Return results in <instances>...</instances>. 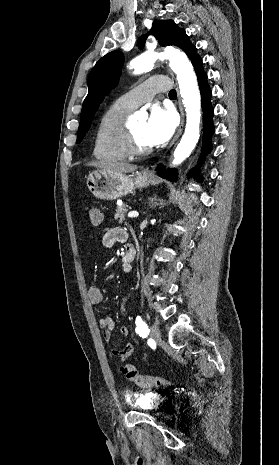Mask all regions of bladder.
I'll use <instances>...</instances> for the list:
<instances>
[{"label": "bladder", "instance_id": "31cf9c89", "mask_svg": "<svg viewBox=\"0 0 279 465\" xmlns=\"http://www.w3.org/2000/svg\"><path fill=\"white\" fill-rule=\"evenodd\" d=\"M165 402V398L153 392L138 393L131 397L130 404L134 408L144 412L159 409Z\"/></svg>", "mask_w": 279, "mask_h": 465}]
</instances>
